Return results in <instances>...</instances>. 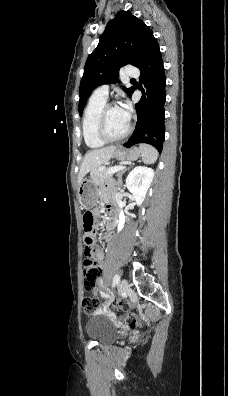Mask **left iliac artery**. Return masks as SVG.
<instances>
[{
    "label": "left iliac artery",
    "instance_id": "left-iliac-artery-1",
    "mask_svg": "<svg viewBox=\"0 0 228 396\" xmlns=\"http://www.w3.org/2000/svg\"><path fill=\"white\" fill-rule=\"evenodd\" d=\"M119 281H120V276H119V274H116L113 278L112 287H114L116 284H118Z\"/></svg>",
    "mask_w": 228,
    "mask_h": 396
}]
</instances>
